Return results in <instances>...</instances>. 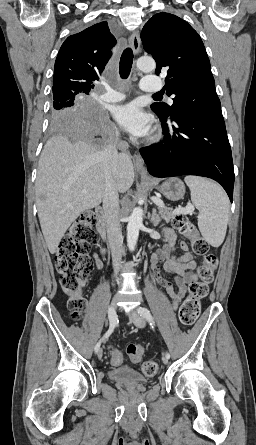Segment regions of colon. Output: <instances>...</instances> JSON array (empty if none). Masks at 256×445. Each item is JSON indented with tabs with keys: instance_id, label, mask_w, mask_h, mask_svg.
<instances>
[{
	"instance_id": "obj_1",
	"label": "colon",
	"mask_w": 256,
	"mask_h": 445,
	"mask_svg": "<svg viewBox=\"0 0 256 445\" xmlns=\"http://www.w3.org/2000/svg\"><path fill=\"white\" fill-rule=\"evenodd\" d=\"M95 220V214L91 210L79 215L60 241L55 254L60 288L68 297V311L73 319H77L85 308L82 290L93 270L89 251L96 240L92 228ZM174 226L180 234L190 239L193 253L202 257V263L198 268V279L190 283L189 293L178 313L181 324L189 326L198 318L201 300L208 295L209 285L217 268V257L209 252V244L199 235L195 225L186 216L177 215L174 218ZM127 354L133 362H139L144 351L140 346L131 344L127 347ZM122 359L120 352L111 353L113 364H120ZM157 370L156 362L143 363L144 375L152 377Z\"/></svg>"
}]
</instances>
